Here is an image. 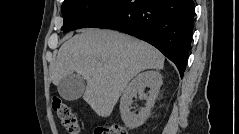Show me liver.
Returning <instances> with one entry per match:
<instances>
[{"mask_svg":"<svg viewBox=\"0 0 239 134\" xmlns=\"http://www.w3.org/2000/svg\"><path fill=\"white\" fill-rule=\"evenodd\" d=\"M164 68V56L150 44L112 30L86 29L67 40L51 65L53 84L76 72L86 80L83 99L97 115L108 117L139 72Z\"/></svg>","mask_w":239,"mask_h":134,"instance_id":"1","label":"liver"}]
</instances>
